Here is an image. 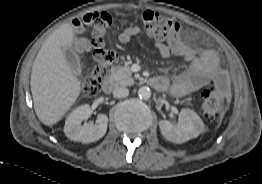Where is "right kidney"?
<instances>
[{
	"label": "right kidney",
	"instance_id": "obj_1",
	"mask_svg": "<svg viewBox=\"0 0 262 184\" xmlns=\"http://www.w3.org/2000/svg\"><path fill=\"white\" fill-rule=\"evenodd\" d=\"M91 114L92 109L87 104L72 111L65 122V135L70 140L81 143H90L102 138L107 130L108 117L105 114H99L95 125H82L81 123L87 120Z\"/></svg>",
	"mask_w": 262,
	"mask_h": 184
}]
</instances>
